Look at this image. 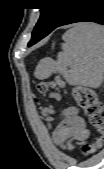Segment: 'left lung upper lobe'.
Instances as JSON below:
<instances>
[{"label": "left lung upper lobe", "instance_id": "5c2ea615", "mask_svg": "<svg viewBox=\"0 0 104 169\" xmlns=\"http://www.w3.org/2000/svg\"><path fill=\"white\" fill-rule=\"evenodd\" d=\"M49 5L41 8L40 18L34 31L54 30L57 25L72 11L77 0H45ZM33 31V32H34Z\"/></svg>", "mask_w": 104, "mask_h": 169}]
</instances>
